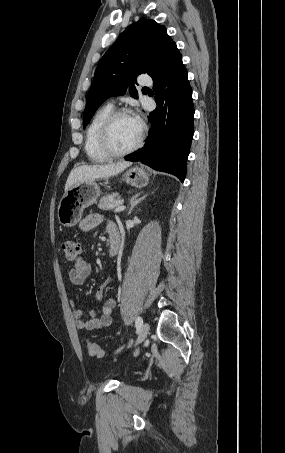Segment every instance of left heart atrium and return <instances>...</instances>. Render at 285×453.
<instances>
[{
	"label": "left heart atrium",
	"instance_id": "left-heart-atrium-1",
	"mask_svg": "<svg viewBox=\"0 0 285 453\" xmlns=\"http://www.w3.org/2000/svg\"><path fill=\"white\" fill-rule=\"evenodd\" d=\"M133 118H134L135 121L141 126L142 121H141L140 117H139V116H135V117H133Z\"/></svg>",
	"mask_w": 285,
	"mask_h": 453
}]
</instances>
